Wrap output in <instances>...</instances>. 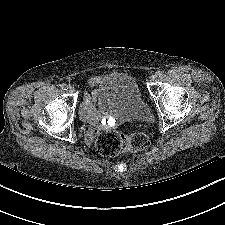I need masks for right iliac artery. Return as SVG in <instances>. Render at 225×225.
Here are the masks:
<instances>
[{"label": "right iliac artery", "mask_w": 225, "mask_h": 225, "mask_svg": "<svg viewBox=\"0 0 225 225\" xmlns=\"http://www.w3.org/2000/svg\"><path fill=\"white\" fill-rule=\"evenodd\" d=\"M60 87H61V89H63V90H67L68 89V86L66 85V84H61L60 85Z\"/></svg>", "instance_id": "1"}]
</instances>
